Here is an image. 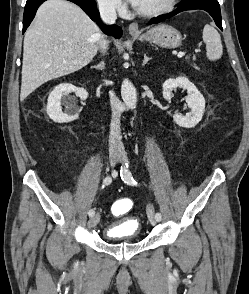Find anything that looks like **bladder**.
Here are the masks:
<instances>
[{"label": "bladder", "instance_id": "1", "mask_svg": "<svg viewBox=\"0 0 249 294\" xmlns=\"http://www.w3.org/2000/svg\"><path fill=\"white\" fill-rule=\"evenodd\" d=\"M141 232V226L135 220L129 217L120 220L118 223L111 225L106 233L105 239L114 240L119 238H127L135 240Z\"/></svg>", "mask_w": 249, "mask_h": 294}]
</instances>
